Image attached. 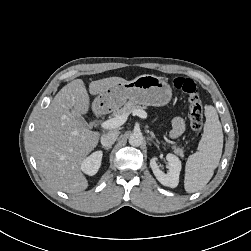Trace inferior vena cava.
I'll list each match as a JSON object with an SVG mask.
<instances>
[{"label":"inferior vena cava","mask_w":251,"mask_h":251,"mask_svg":"<svg viewBox=\"0 0 251 251\" xmlns=\"http://www.w3.org/2000/svg\"><path fill=\"white\" fill-rule=\"evenodd\" d=\"M119 136V132H108L101 136V144L104 147H111Z\"/></svg>","instance_id":"obj_1"}]
</instances>
